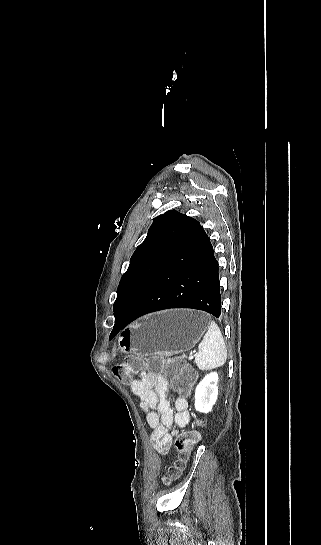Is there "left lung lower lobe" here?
Wrapping results in <instances>:
<instances>
[{
    "label": "left lung lower lobe",
    "mask_w": 321,
    "mask_h": 545,
    "mask_svg": "<svg viewBox=\"0 0 321 545\" xmlns=\"http://www.w3.org/2000/svg\"><path fill=\"white\" fill-rule=\"evenodd\" d=\"M218 262L210 239L198 221L189 219L161 269L127 315H115L113 332L145 314L192 308L221 314Z\"/></svg>",
    "instance_id": "obj_1"
}]
</instances>
